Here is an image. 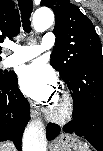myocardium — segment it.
I'll use <instances>...</instances> for the list:
<instances>
[{
  "mask_svg": "<svg viewBox=\"0 0 103 151\" xmlns=\"http://www.w3.org/2000/svg\"><path fill=\"white\" fill-rule=\"evenodd\" d=\"M73 113L72 97L65 90L59 92L56 97V103L51 104L46 111L48 119L59 125L68 123L72 119Z\"/></svg>",
  "mask_w": 103,
  "mask_h": 151,
  "instance_id": "myocardium-1",
  "label": "myocardium"
}]
</instances>
